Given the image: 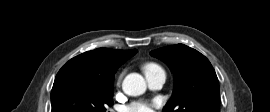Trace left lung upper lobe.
Returning a JSON list of instances; mask_svg holds the SVG:
<instances>
[{"mask_svg": "<svg viewBox=\"0 0 270 112\" xmlns=\"http://www.w3.org/2000/svg\"><path fill=\"white\" fill-rule=\"evenodd\" d=\"M174 74V91L164 112H220L219 82L209 60L183 44L150 52Z\"/></svg>", "mask_w": 270, "mask_h": 112, "instance_id": "left-lung-upper-lobe-1", "label": "left lung upper lobe"}]
</instances>
